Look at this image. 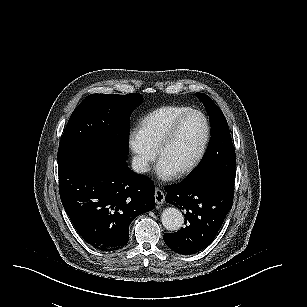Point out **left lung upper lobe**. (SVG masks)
<instances>
[{"label":"left lung upper lobe","mask_w":307,"mask_h":307,"mask_svg":"<svg viewBox=\"0 0 307 307\" xmlns=\"http://www.w3.org/2000/svg\"><path fill=\"white\" fill-rule=\"evenodd\" d=\"M209 114L211 138L206 153L196 170L185 180L221 174L235 179V150L225 116L213 100L204 93H195Z\"/></svg>","instance_id":"left-lung-upper-lobe-1"}]
</instances>
